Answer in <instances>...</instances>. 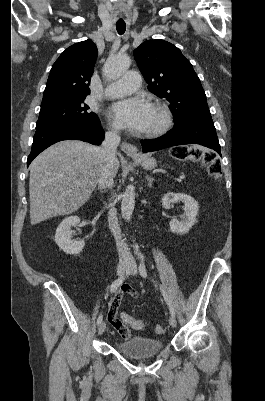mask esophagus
I'll list each match as a JSON object with an SVG mask.
<instances>
[{
	"mask_svg": "<svg viewBox=\"0 0 265 401\" xmlns=\"http://www.w3.org/2000/svg\"><path fill=\"white\" fill-rule=\"evenodd\" d=\"M121 149L128 155L131 157H135L137 156L138 150L136 148V146L131 145L130 143H122L121 145Z\"/></svg>",
	"mask_w": 265,
	"mask_h": 401,
	"instance_id": "34e87169",
	"label": "esophagus"
}]
</instances>
